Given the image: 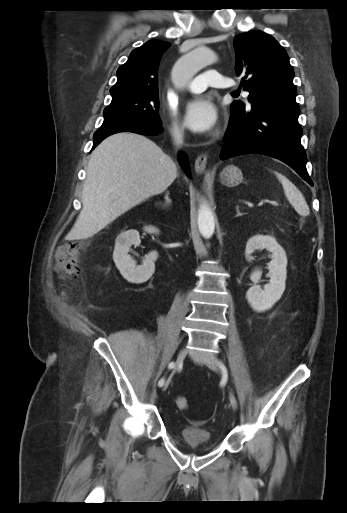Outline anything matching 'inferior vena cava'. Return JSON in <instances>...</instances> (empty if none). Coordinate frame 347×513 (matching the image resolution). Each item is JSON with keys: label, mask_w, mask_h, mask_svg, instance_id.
<instances>
[{"label": "inferior vena cava", "mask_w": 347, "mask_h": 513, "mask_svg": "<svg viewBox=\"0 0 347 513\" xmlns=\"http://www.w3.org/2000/svg\"><path fill=\"white\" fill-rule=\"evenodd\" d=\"M172 137L174 140V144L179 146L183 143V131L179 128H176L172 131Z\"/></svg>", "instance_id": "1"}]
</instances>
